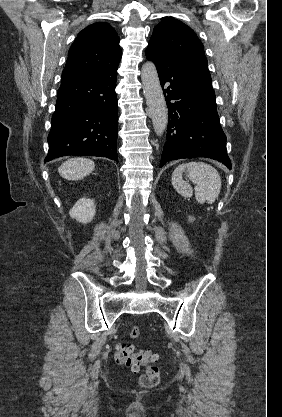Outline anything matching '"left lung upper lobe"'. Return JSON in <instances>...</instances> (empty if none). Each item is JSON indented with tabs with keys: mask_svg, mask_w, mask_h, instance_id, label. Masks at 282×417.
<instances>
[{
	"mask_svg": "<svg viewBox=\"0 0 282 417\" xmlns=\"http://www.w3.org/2000/svg\"><path fill=\"white\" fill-rule=\"evenodd\" d=\"M148 47L172 57L182 56L207 61L203 44L195 32L172 17L162 18L155 26Z\"/></svg>",
	"mask_w": 282,
	"mask_h": 417,
	"instance_id": "1",
	"label": "left lung upper lobe"
}]
</instances>
